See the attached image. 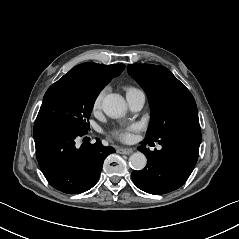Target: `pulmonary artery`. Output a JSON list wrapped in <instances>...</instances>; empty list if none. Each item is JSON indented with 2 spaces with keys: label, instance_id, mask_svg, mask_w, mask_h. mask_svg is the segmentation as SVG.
I'll return each mask as SVG.
<instances>
[{
  "label": "pulmonary artery",
  "instance_id": "1",
  "mask_svg": "<svg viewBox=\"0 0 239 239\" xmlns=\"http://www.w3.org/2000/svg\"><path fill=\"white\" fill-rule=\"evenodd\" d=\"M126 99L129 107L134 111H138L143 107L146 96L141 89L129 88L126 92ZM160 148L159 146V149Z\"/></svg>",
  "mask_w": 239,
  "mask_h": 239
}]
</instances>
